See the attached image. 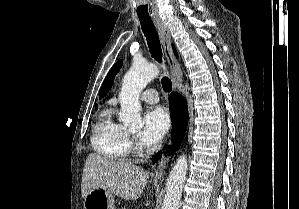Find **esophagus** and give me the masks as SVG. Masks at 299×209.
<instances>
[{
    "mask_svg": "<svg viewBox=\"0 0 299 209\" xmlns=\"http://www.w3.org/2000/svg\"><path fill=\"white\" fill-rule=\"evenodd\" d=\"M153 21L160 35L164 55L170 67L173 88L175 91L179 92L180 84H181V68L172 50V46H171L172 40H171L170 31L168 27L163 23L160 17H153ZM169 144H171V140H169ZM167 166H168V159L163 155L159 162V166L155 172V177L157 179H161L163 177Z\"/></svg>",
    "mask_w": 299,
    "mask_h": 209,
    "instance_id": "esophagus-1",
    "label": "esophagus"
}]
</instances>
